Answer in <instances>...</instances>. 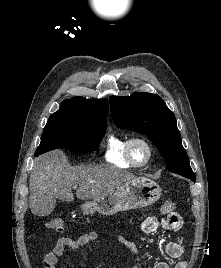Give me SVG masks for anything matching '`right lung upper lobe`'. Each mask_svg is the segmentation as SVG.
Wrapping results in <instances>:
<instances>
[{
    "mask_svg": "<svg viewBox=\"0 0 221 268\" xmlns=\"http://www.w3.org/2000/svg\"><path fill=\"white\" fill-rule=\"evenodd\" d=\"M55 114H65L89 122L106 124L108 100L93 102L83 97H77L75 100L67 99L61 103L60 110Z\"/></svg>",
    "mask_w": 221,
    "mask_h": 268,
    "instance_id": "obj_1",
    "label": "right lung upper lobe"
}]
</instances>
